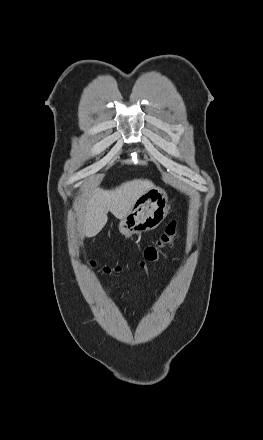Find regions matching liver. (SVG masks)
<instances>
[{"label": "liver", "mask_w": 263, "mask_h": 440, "mask_svg": "<svg viewBox=\"0 0 263 440\" xmlns=\"http://www.w3.org/2000/svg\"><path fill=\"white\" fill-rule=\"evenodd\" d=\"M153 186L150 180L134 179L112 190L95 188L87 191L84 204L78 211L83 234L96 236L107 223L108 212L118 219L126 217L136 199Z\"/></svg>", "instance_id": "6515ba94"}]
</instances>
